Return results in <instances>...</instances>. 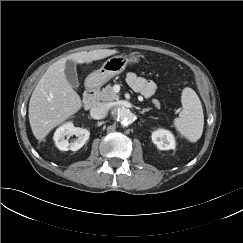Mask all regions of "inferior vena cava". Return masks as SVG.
I'll return each mask as SVG.
<instances>
[{
	"instance_id": "1",
	"label": "inferior vena cava",
	"mask_w": 243,
	"mask_h": 243,
	"mask_svg": "<svg viewBox=\"0 0 243 243\" xmlns=\"http://www.w3.org/2000/svg\"><path fill=\"white\" fill-rule=\"evenodd\" d=\"M107 114V108L104 103H95L90 109V115L94 119H102Z\"/></svg>"
}]
</instances>
